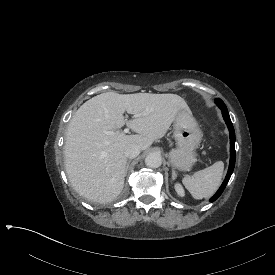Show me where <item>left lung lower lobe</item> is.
I'll use <instances>...</instances> for the list:
<instances>
[{
  "label": "left lung lower lobe",
  "mask_w": 275,
  "mask_h": 275,
  "mask_svg": "<svg viewBox=\"0 0 275 275\" xmlns=\"http://www.w3.org/2000/svg\"><path fill=\"white\" fill-rule=\"evenodd\" d=\"M222 111L223 118L228 126L229 132H230V163H229V169L227 172V175L225 177L224 182L222 183L221 187L218 189L216 194L211 197L210 201L214 202L224 191L235 166V132H234V127L232 125V122L229 117L228 111Z\"/></svg>",
  "instance_id": "1"
}]
</instances>
